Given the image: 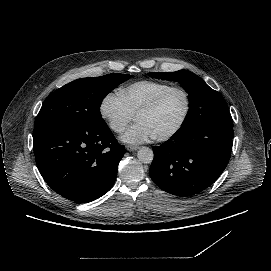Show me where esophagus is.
Masks as SVG:
<instances>
[{
	"mask_svg": "<svg viewBox=\"0 0 271 271\" xmlns=\"http://www.w3.org/2000/svg\"><path fill=\"white\" fill-rule=\"evenodd\" d=\"M126 149H127L128 151H136V150L139 149V147H138V146H135V145H126Z\"/></svg>",
	"mask_w": 271,
	"mask_h": 271,
	"instance_id": "obj_1",
	"label": "esophagus"
}]
</instances>
